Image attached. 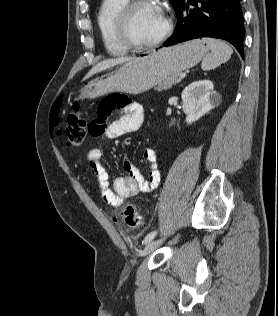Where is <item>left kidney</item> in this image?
<instances>
[{"label":"left kidney","instance_id":"5707ae66","mask_svg":"<svg viewBox=\"0 0 278 316\" xmlns=\"http://www.w3.org/2000/svg\"><path fill=\"white\" fill-rule=\"evenodd\" d=\"M186 123L197 121L217 103L218 94L210 80H199L188 85L181 94Z\"/></svg>","mask_w":278,"mask_h":316}]
</instances>
